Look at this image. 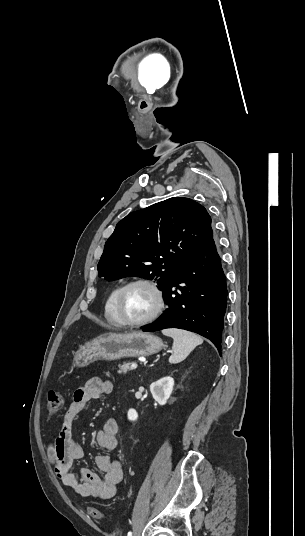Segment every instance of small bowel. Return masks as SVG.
I'll list each match as a JSON object with an SVG mask.
<instances>
[{"mask_svg": "<svg viewBox=\"0 0 305 536\" xmlns=\"http://www.w3.org/2000/svg\"><path fill=\"white\" fill-rule=\"evenodd\" d=\"M111 391L112 384L98 377L90 378L78 388L63 415L58 434L47 448L48 459L56 476L63 485L72 488L82 497L109 500L115 496L123 479L120 462L109 455L117 447L118 424L114 418L106 419L103 428L96 433V443L105 452L95 460L98 469L104 474L103 478L87 469L81 470L79 477L71 472L75 461L83 456V448L74 435L76 419L89 401L108 395Z\"/></svg>", "mask_w": 305, "mask_h": 536, "instance_id": "c3829d8e", "label": "small bowel"}]
</instances>
